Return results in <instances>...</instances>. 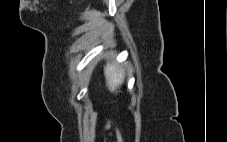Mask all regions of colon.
Masks as SVG:
<instances>
[{
	"mask_svg": "<svg viewBox=\"0 0 227 142\" xmlns=\"http://www.w3.org/2000/svg\"><path fill=\"white\" fill-rule=\"evenodd\" d=\"M117 142H124L123 135L120 131H117Z\"/></svg>",
	"mask_w": 227,
	"mask_h": 142,
	"instance_id": "5ec220e1",
	"label": "colon"
}]
</instances>
